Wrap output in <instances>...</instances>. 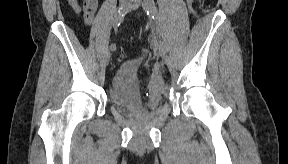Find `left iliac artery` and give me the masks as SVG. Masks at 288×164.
<instances>
[{
	"label": "left iliac artery",
	"instance_id": "left-iliac-artery-1",
	"mask_svg": "<svg viewBox=\"0 0 288 164\" xmlns=\"http://www.w3.org/2000/svg\"><path fill=\"white\" fill-rule=\"evenodd\" d=\"M142 5L147 15L153 19L156 32L159 34V38H160V34H161L160 24H159L160 18H159V14L155 6L154 0H143ZM159 43L162 44L163 41L159 40Z\"/></svg>",
	"mask_w": 288,
	"mask_h": 164
}]
</instances>
